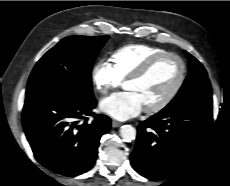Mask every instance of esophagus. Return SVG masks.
<instances>
[{
    "label": "esophagus",
    "instance_id": "obj_1",
    "mask_svg": "<svg viewBox=\"0 0 230 186\" xmlns=\"http://www.w3.org/2000/svg\"><path fill=\"white\" fill-rule=\"evenodd\" d=\"M122 124L116 120H113L112 121V127L113 128H117V127H120Z\"/></svg>",
    "mask_w": 230,
    "mask_h": 186
}]
</instances>
